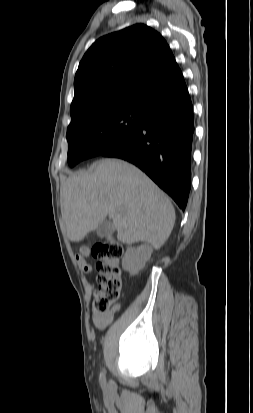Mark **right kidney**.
<instances>
[{"instance_id": "ca27d5eb", "label": "right kidney", "mask_w": 253, "mask_h": 413, "mask_svg": "<svg viewBox=\"0 0 253 413\" xmlns=\"http://www.w3.org/2000/svg\"><path fill=\"white\" fill-rule=\"evenodd\" d=\"M153 249L149 245L139 247H129L122 258V267L131 275H136L144 268L146 262L150 259Z\"/></svg>"}]
</instances>
